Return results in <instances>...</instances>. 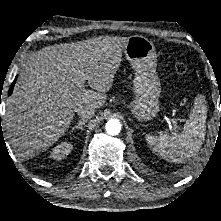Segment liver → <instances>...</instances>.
<instances>
[{"label": "liver", "mask_w": 221, "mask_h": 221, "mask_svg": "<svg viewBox=\"0 0 221 221\" xmlns=\"http://www.w3.org/2000/svg\"><path fill=\"white\" fill-rule=\"evenodd\" d=\"M128 37L105 36L47 46L19 73L4 128L15 154L33 158L67 131L76 109L100 108L107 98ZM92 89H86L85 84Z\"/></svg>", "instance_id": "liver-1"}]
</instances>
